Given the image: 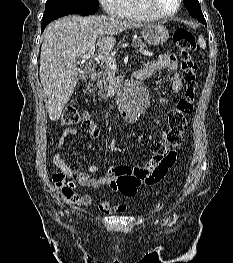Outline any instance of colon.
<instances>
[{
  "label": "colon",
  "instance_id": "5ec220e1",
  "mask_svg": "<svg viewBox=\"0 0 233 263\" xmlns=\"http://www.w3.org/2000/svg\"><path fill=\"white\" fill-rule=\"evenodd\" d=\"M173 41L179 48L181 54V71L182 76L187 83V87L184 97L168 114L167 126L164 130L162 139L154 143L151 147L154 158L158 159V164L147 175L135 167L120 170L121 173L145 176L146 181L149 183H156L163 178L169 168L174 164L176 158L175 149L182 143L188 119L194 110L195 91L197 87L195 38L189 30L179 28L174 32ZM60 121L65 127L81 124L82 128L88 131L93 137L98 135L97 127L90 122L85 113L79 111L75 106H68L64 110ZM53 180L55 183L65 180L64 173L59 172L54 174ZM68 186L72 187V183L70 182Z\"/></svg>",
  "mask_w": 233,
  "mask_h": 263
}]
</instances>
